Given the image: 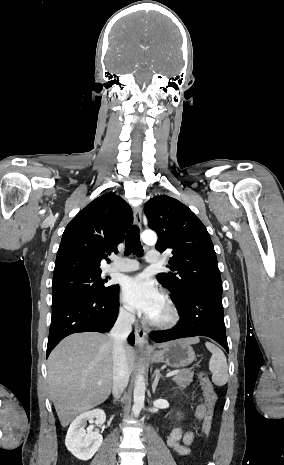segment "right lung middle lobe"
Wrapping results in <instances>:
<instances>
[{"instance_id":"1","label":"right lung middle lobe","mask_w":284,"mask_h":465,"mask_svg":"<svg viewBox=\"0 0 284 465\" xmlns=\"http://www.w3.org/2000/svg\"><path fill=\"white\" fill-rule=\"evenodd\" d=\"M106 282L107 279H102L101 273L76 274L53 280L52 303L75 294H106L116 287L105 285Z\"/></svg>"}]
</instances>
